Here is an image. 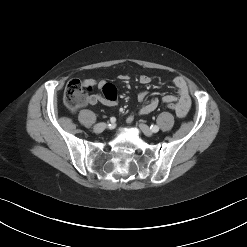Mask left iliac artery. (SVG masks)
<instances>
[{"instance_id": "obj_1", "label": "left iliac artery", "mask_w": 247, "mask_h": 247, "mask_svg": "<svg viewBox=\"0 0 247 247\" xmlns=\"http://www.w3.org/2000/svg\"><path fill=\"white\" fill-rule=\"evenodd\" d=\"M150 129L155 133L159 131V127L157 125H151Z\"/></svg>"}]
</instances>
